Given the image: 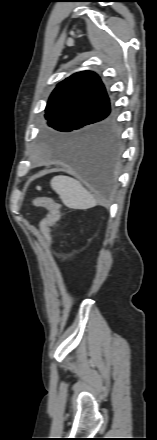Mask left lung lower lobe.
<instances>
[{
  "instance_id": "1",
  "label": "left lung lower lobe",
  "mask_w": 157,
  "mask_h": 440,
  "mask_svg": "<svg viewBox=\"0 0 157 440\" xmlns=\"http://www.w3.org/2000/svg\"><path fill=\"white\" fill-rule=\"evenodd\" d=\"M121 156L120 132L113 121L104 129L66 145V163L95 190L108 193Z\"/></svg>"
}]
</instances>
